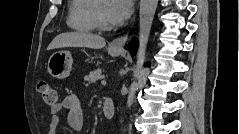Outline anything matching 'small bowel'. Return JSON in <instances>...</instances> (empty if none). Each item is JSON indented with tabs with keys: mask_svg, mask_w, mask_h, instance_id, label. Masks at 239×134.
<instances>
[{
	"mask_svg": "<svg viewBox=\"0 0 239 134\" xmlns=\"http://www.w3.org/2000/svg\"><path fill=\"white\" fill-rule=\"evenodd\" d=\"M67 111V120L69 126L75 131H81L84 127V109L76 94L66 96L61 103L51 106V119L49 122L48 134H56L60 123V113Z\"/></svg>",
	"mask_w": 239,
	"mask_h": 134,
	"instance_id": "small-bowel-1",
	"label": "small bowel"
}]
</instances>
